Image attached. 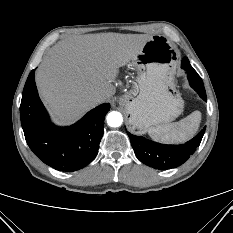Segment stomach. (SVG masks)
Segmentation results:
<instances>
[{
    "instance_id": "1",
    "label": "stomach",
    "mask_w": 233,
    "mask_h": 233,
    "mask_svg": "<svg viewBox=\"0 0 233 233\" xmlns=\"http://www.w3.org/2000/svg\"><path fill=\"white\" fill-rule=\"evenodd\" d=\"M179 51L166 37L152 36L130 66L137 72L132 89L119 98L129 116L130 129L144 133L165 125L183 111V100L174 84Z\"/></svg>"
}]
</instances>
